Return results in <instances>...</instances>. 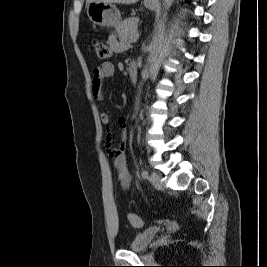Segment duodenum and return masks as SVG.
<instances>
[{"label":"duodenum","mask_w":267,"mask_h":267,"mask_svg":"<svg viewBox=\"0 0 267 267\" xmlns=\"http://www.w3.org/2000/svg\"><path fill=\"white\" fill-rule=\"evenodd\" d=\"M128 73L131 81H136L138 77V65L136 62H131L128 67Z\"/></svg>","instance_id":"obj_1"}]
</instances>
